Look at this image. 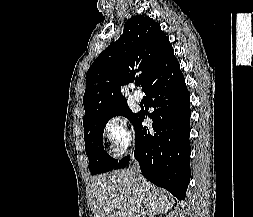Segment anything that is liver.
Here are the masks:
<instances>
[{
    "instance_id": "1",
    "label": "liver",
    "mask_w": 253,
    "mask_h": 217,
    "mask_svg": "<svg viewBox=\"0 0 253 217\" xmlns=\"http://www.w3.org/2000/svg\"><path fill=\"white\" fill-rule=\"evenodd\" d=\"M90 208L94 217H155L167 212V194L131 170L93 178Z\"/></svg>"
}]
</instances>
